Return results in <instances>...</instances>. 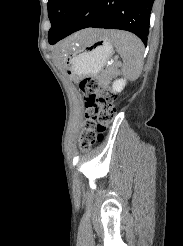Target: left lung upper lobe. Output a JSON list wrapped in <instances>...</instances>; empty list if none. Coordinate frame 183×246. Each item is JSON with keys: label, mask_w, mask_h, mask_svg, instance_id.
Returning <instances> with one entry per match:
<instances>
[{"label": "left lung upper lobe", "mask_w": 183, "mask_h": 246, "mask_svg": "<svg viewBox=\"0 0 183 246\" xmlns=\"http://www.w3.org/2000/svg\"><path fill=\"white\" fill-rule=\"evenodd\" d=\"M80 0H49L48 16L51 28L48 39L56 37L76 9Z\"/></svg>", "instance_id": "obj_1"}]
</instances>
